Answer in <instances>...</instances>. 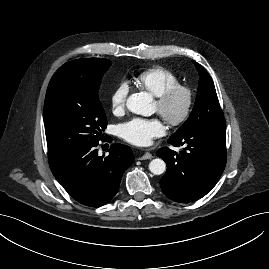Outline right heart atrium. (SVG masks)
Listing matches in <instances>:
<instances>
[{"instance_id": "d8ad5b80", "label": "right heart atrium", "mask_w": 269, "mask_h": 269, "mask_svg": "<svg viewBox=\"0 0 269 269\" xmlns=\"http://www.w3.org/2000/svg\"><path fill=\"white\" fill-rule=\"evenodd\" d=\"M129 91V85L126 82L121 81L111 92L109 96V105L114 114H120L125 110Z\"/></svg>"}]
</instances>
